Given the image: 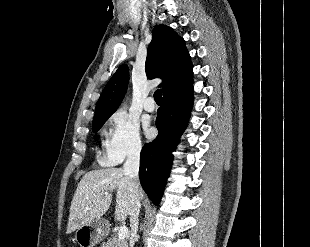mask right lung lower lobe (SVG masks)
Instances as JSON below:
<instances>
[{
    "instance_id": "right-lung-lower-lobe-1",
    "label": "right lung lower lobe",
    "mask_w": 310,
    "mask_h": 247,
    "mask_svg": "<svg viewBox=\"0 0 310 247\" xmlns=\"http://www.w3.org/2000/svg\"><path fill=\"white\" fill-rule=\"evenodd\" d=\"M193 104L192 82L163 96L157 111V138L144 145L140 156L139 178L144 191L155 205L163 195L173 155L186 127Z\"/></svg>"
}]
</instances>
